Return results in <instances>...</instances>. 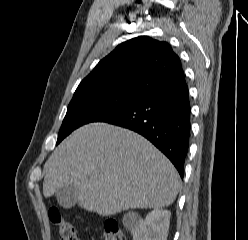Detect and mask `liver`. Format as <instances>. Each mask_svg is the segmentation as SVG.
<instances>
[{
  "mask_svg": "<svg viewBox=\"0 0 248 240\" xmlns=\"http://www.w3.org/2000/svg\"><path fill=\"white\" fill-rule=\"evenodd\" d=\"M43 194L78 190V205L102 216L171 205L180 188L173 164L148 140L128 129L91 123L75 130L45 164Z\"/></svg>",
  "mask_w": 248,
  "mask_h": 240,
  "instance_id": "obj_1",
  "label": "liver"
}]
</instances>
